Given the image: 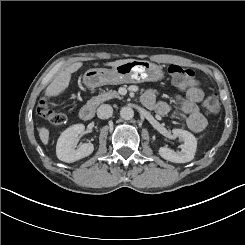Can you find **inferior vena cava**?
<instances>
[{
    "label": "inferior vena cava",
    "mask_w": 245,
    "mask_h": 245,
    "mask_svg": "<svg viewBox=\"0 0 245 245\" xmlns=\"http://www.w3.org/2000/svg\"><path fill=\"white\" fill-rule=\"evenodd\" d=\"M113 114V108L109 104H103L97 109V116L100 119H108Z\"/></svg>",
    "instance_id": "602c4592"
}]
</instances>
